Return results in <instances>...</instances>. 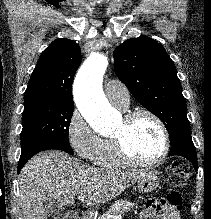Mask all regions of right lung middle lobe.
Wrapping results in <instances>:
<instances>
[{
	"label": "right lung middle lobe",
	"mask_w": 211,
	"mask_h": 219,
	"mask_svg": "<svg viewBox=\"0 0 211 219\" xmlns=\"http://www.w3.org/2000/svg\"><path fill=\"white\" fill-rule=\"evenodd\" d=\"M74 105L50 100L24 102L21 154L41 146H54L74 154L68 131Z\"/></svg>",
	"instance_id": "1"
}]
</instances>
